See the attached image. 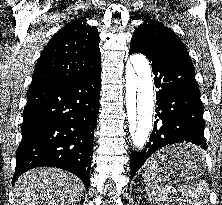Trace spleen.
Here are the masks:
<instances>
[{
	"label": "spleen",
	"instance_id": "3e777b00",
	"mask_svg": "<svg viewBox=\"0 0 222 205\" xmlns=\"http://www.w3.org/2000/svg\"><path fill=\"white\" fill-rule=\"evenodd\" d=\"M162 157L151 156L142 166L141 172L146 182V192L157 205H209V186L205 180L191 179L177 188L178 197L166 185L163 172L159 170ZM193 181V182H192Z\"/></svg>",
	"mask_w": 222,
	"mask_h": 205
}]
</instances>
